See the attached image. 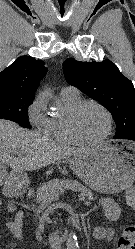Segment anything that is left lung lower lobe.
I'll list each match as a JSON object with an SVG mask.
<instances>
[{
	"mask_svg": "<svg viewBox=\"0 0 135 249\" xmlns=\"http://www.w3.org/2000/svg\"><path fill=\"white\" fill-rule=\"evenodd\" d=\"M124 139H129V140H133V141H135V134L130 135V136H127V137H126V138H124Z\"/></svg>",
	"mask_w": 135,
	"mask_h": 249,
	"instance_id": "left-lung-lower-lobe-1",
	"label": "left lung lower lobe"
}]
</instances>
